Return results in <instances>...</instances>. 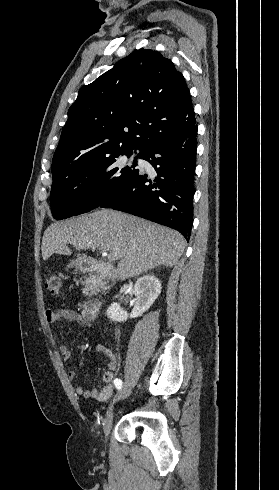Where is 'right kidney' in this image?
Segmentation results:
<instances>
[{
	"mask_svg": "<svg viewBox=\"0 0 279 490\" xmlns=\"http://www.w3.org/2000/svg\"><path fill=\"white\" fill-rule=\"evenodd\" d=\"M134 290L136 298L135 306L131 314H127V312L121 308L120 304L113 302L106 312V316H108L110 320H113V322H126L128 318H138V316H142L143 312L149 310L150 306H152L158 296H160L162 290L161 282L156 276H153V274H146V276L138 278L137 282H135Z\"/></svg>",
	"mask_w": 279,
	"mask_h": 490,
	"instance_id": "right-kidney-1",
	"label": "right kidney"
}]
</instances>
